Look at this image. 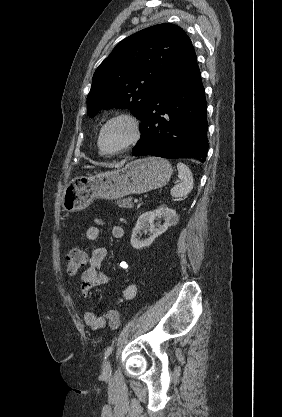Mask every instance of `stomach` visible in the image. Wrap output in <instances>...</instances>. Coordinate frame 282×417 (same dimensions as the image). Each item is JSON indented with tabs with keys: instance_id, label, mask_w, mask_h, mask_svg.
I'll return each mask as SVG.
<instances>
[{
	"instance_id": "1",
	"label": "stomach",
	"mask_w": 282,
	"mask_h": 417,
	"mask_svg": "<svg viewBox=\"0 0 282 417\" xmlns=\"http://www.w3.org/2000/svg\"><path fill=\"white\" fill-rule=\"evenodd\" d=\"M172 166L160 156H147L127 162L123 168L105 170L94 176H78L64 188L62 206L68 213L87 209L94 198L114 200L126 194H140L167 184Z\"/></svg>"
}]
</instances>
